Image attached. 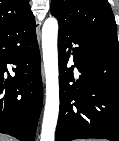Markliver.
I'll list each match as a JSON object with an SVG mask.
<instances>
[{"instance_id":"6515ba94","label":"liver","mask_w":119,"mask_h":141,"mask_svg":"<svg viewBox=\"0 0 119 141\" xmlns=\"http://www.w3.org/2000/svg\"><path fill=\"white\" fill-rule=\"evenodd\" d=\"M0 141H13V139L8 136L0 134Z\"/></svg>"}]
</instances>
